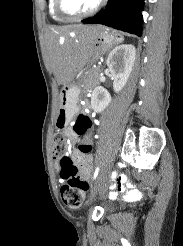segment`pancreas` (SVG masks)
Returning a JSON list of instances; mask_svg holds the SVG:
<instances>
[{
    "mask_svg": "<svg viewBox=\"0 0 183 246\" xmlns=\"http://www.w3.org/2000/svg\"><path fill=\"white\" fill-rule=\"evenodd\" d=\"M98 70H99V68H97V69H91V70H90V74H95V73L98 72Z\"/></svg>",
    "mask_w": 183,
    "mask_h": 246,
    "instance_id": "1",
    "label": "pancreas"
}]
</instances>
